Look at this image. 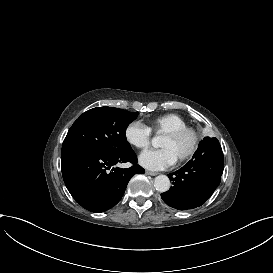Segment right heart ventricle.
Returning <instances> with one entry per match:
<instances>
[{"label":"right heart ventricle","instance_id":"right-heart-ventricle-1","mask_svg":"<svg viewBox=\"0 0 273 273\" xmlns=\"http://www.w3.org/2000/svg\"><path fill=\"white\" fill-rule=\"evenodd\" d=\"M144 125L150 130V132L163 134L170 130L186 127L189 125V122L186 118L177 113H166L152 117Z\"/></svg>","mask_w":273,"mask_h":273}]
</instances>
